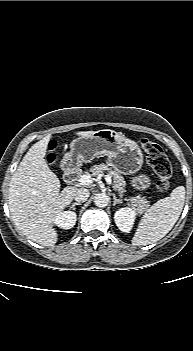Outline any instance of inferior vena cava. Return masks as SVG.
Masks as SVG:
<instances>
[{"label":"inferior vena cava","instance_id":"inferior-vena-cava-1","mask_svg":"<svg viewBox=\"0 0 193 351\" xmlns=\"http://www.w3.org/2000/svg\"><path fill=\"white\" fill-rule=\"evenodd\" d=\"M89 195H90L89 190L81 187V188H78L77 191L75 192L74 199L77 202H85L88 199Z\"/></svg>","mask_w":193,"mask_h":351}]
</instances>
